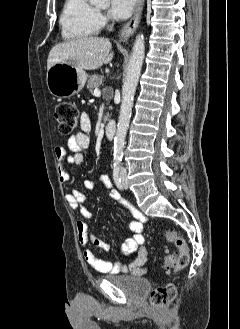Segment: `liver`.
Returning a JSON list of instances; mask_svg holds the SVG:
<instances>
[{
    "label": "liver",
    "instance_id": "6515ba94",
    "mask_svg": "<svg viewBox=\"0 0 240 329\" xmlns=\"http://www.w3.org/2000/svg\"><path fill=\"white\" fill-rule=\"evenodd\" d=\"M108 39L85 37L55 45L49 52L47 70L56 63H68L80 69L95 70L113 59Z\"/></svg>",
    "mask_w": 240,
    "mask_h": 329
}]
</instances>
